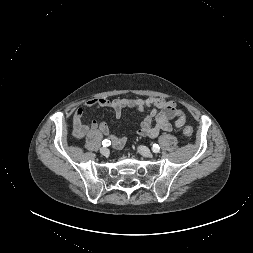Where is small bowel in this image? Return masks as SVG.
I'll list each match as a JSON object with an SVG mask.
<instances>
[{"instance_id":"small-bowel-1","label":"small bowel","mask_w":253,"mask_h":253,"mask_svg":"<svg viewBox=\"0 0 253 253\" xmlns=\"http://www.w3.org/2000/svg\"><path fill=\"white\" fill-rule=\"evenodd\" d=\"M85 107L111 108L117 118H120L125 108H133L139 112L150 108L151 111L141 122L137 134L146 137H156L161 131L170 132L175 126L180 128L185 124L186 117L183 111L176 107L174 101L163 98H130V99H108V98H93L85 103ZM84 108H78L72 120V134L77 139L84 138L89 132L99 130L104 135L108 136L115 147H123L126 143V137L113 134L105 122L98 123L92 120L89 123L83 122ZM174 123L172 124V120ZM155 122V124H153Z\"/></svg>"}]
</instances>
